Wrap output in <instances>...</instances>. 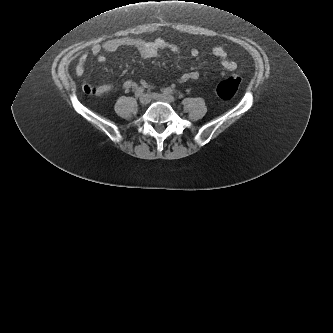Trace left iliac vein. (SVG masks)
<instances>
[{
    "label": "left iliac vein",
    "mask_w": 333,
    "mask_h": 333,
    "mask_svg": "<svg viewBox=\"0 0 333 333\" xmlns=\"http://www.w3.org/2000/svg\"><path fill=\"white\" fill-rule=\"evenodd\" d=\"M152 98L155 100H158V101L166 102V103H172L175 101L174 96L159 94V93H152Z\"/></svg>",
    "instance_id": "1"
}]
</instances>
